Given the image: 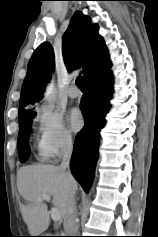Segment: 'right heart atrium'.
<instances>
[{
  "instance_id": "right-heart-atrium-1",
  "label": "right heart atrium",
  "mask_w": 158,
  "mask_h": 237,
  "mask_svg": "<svg viewBox=\"0 0 158 237\" xmlns=\"http://www.w3.org/2000/svg\"><path fill=\"white\" fill-rule=\"evenodd\" d=\"M40 122L39 148L48 158L56 159L72 145V135L61 116L52 110L43 109L38 117Z\"/></svg>"
}]
</instances>
